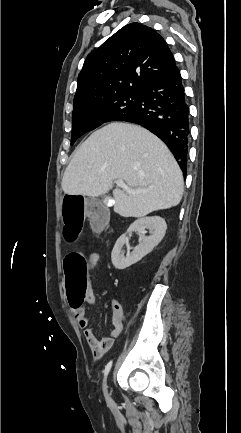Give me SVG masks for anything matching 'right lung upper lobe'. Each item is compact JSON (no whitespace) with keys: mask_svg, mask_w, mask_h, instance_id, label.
Returning a JSON list of instances; mask_svg holds the SVG:
<instances>
[{"mask_svg":"<svg viewBox=\"0 0 241 433\" xmlns=\"http://www.w3.org/2000/svg\"><path fill=\"white\" fill-rule=\"evenodd\" d=\"M176 67L166 41L134 22L88 54L78 76L74 104L127 91H141Z\"/></svg>","mask_w":241,"mask_h":433,"instance_id":"right-lung-upper-lobe-1","label":"right lung upper lobe"}]
</instances>
